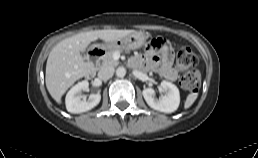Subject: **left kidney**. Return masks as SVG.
I'll return each mask as SVG.
<instances>
[{"instance_id": "5707ae66", "label": "left kidney", "mask_w": 258, "mask_h": 158, "mask_svg": "<svg viewBox=\"0 0 258 158\" xmlns=\"http://www.w3.org/2000/svg\"><path fill=\"white\" fill-rule=\"evenodd\" d=\"M161 87L166 92V95L160 99L155 98L154 90L151 88H146L143 90L142 94L146 103L153 109L172 113L177 110L180 104V93L176 85L168 81H162Z\"/></svg>"}]
</instances>
